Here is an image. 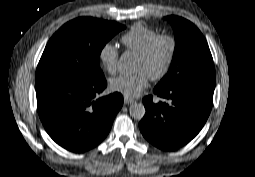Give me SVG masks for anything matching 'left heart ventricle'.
Returning <instances> with one entry per match:
<instances>
[{
    "instance_id": "b2bd125f",
    "label": "left heart ventricle",
    "mask_w": 255,
    "mask_h": 177,
    "mask_svg": "<svg viewBox=\"0 0 255 177\" xmlns=\"http://www.w3.org/2000/svg\"><path fill=\"white\" fill-rule=\"evenodd\" d=\"M168 53H169L168 42L166 41L160 42L156 46L151 57L148 60H143L141 58L137 59L135 71L144 72L147 76L157 74L164 66Z\"/></svg>"
}]
</instances>
